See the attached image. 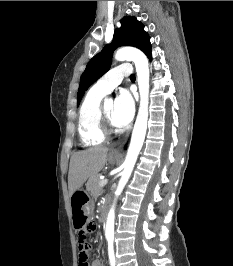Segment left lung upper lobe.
Returning a JSON list of instances; mask_svg holds the SVG:
<instances>
[{"label":"left lung upper lobe","instance_id":"left-lung-upper-lobe-1","mask_svg":"<svg viewBox=\"0 0 233 266\" xmlns=\"http://www.w3.org/2000/svg\"><path fill=\"white\" fill-rule=\"evenodd\" d=\"M121 27L114 32V38L100 53L95 55L88 63L80 79L77 95L79 105L83 94L89 86L105 74L110 66L113 51L123 45L139 48L144 53L151 49L149 35L144 31V25L135 17L125 16L121 19Z\"/></svg>","mask_w":233,"mask_h":266}]
</instances>
